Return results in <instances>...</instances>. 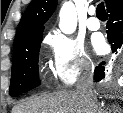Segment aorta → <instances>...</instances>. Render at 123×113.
I'll return each mask as SVG.
<instances>
[{
    "instance_id": "obj_1",
    "label": "aorta",
    "mask_w": 123,
    "mask_h": 113,
    "mask_svg": "<svg viewBox=\"0 0 123 113\" xmlns=\"http://www.w3.org/2000/svg\"><path fill=\"white\" fill-rule=\"evenodd\" d=\"M59 28L65 34H72L77 27V13L72 2L66 1L59 12Z\"/></svg>"
}]
</instances>
